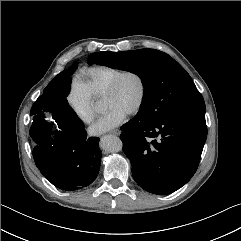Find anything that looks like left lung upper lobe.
<instances>
[{
  "mask_svg": "<svg viewBox=\"0 0 241 241\" xmlns=\"http://www.w3.org/2000/svg\"><path fill=\"white\" fill-rule=\"evenodd\" d=\"M87 62L130 71L141 78L144 96L137 115L157 120L174 111L206 110L204 99L189 74L164 52L155 49L97 52Z\"/></svg>",
  "mask_w": 241,
  "mask_h": 241,
  "instance_id": "left-lung-upper-lobe-1",
  "label": "left lung upper lobe"
}]
</instances>
